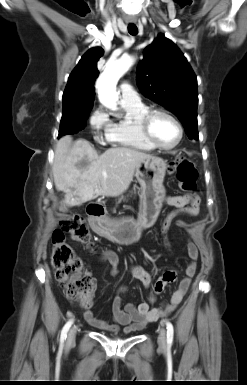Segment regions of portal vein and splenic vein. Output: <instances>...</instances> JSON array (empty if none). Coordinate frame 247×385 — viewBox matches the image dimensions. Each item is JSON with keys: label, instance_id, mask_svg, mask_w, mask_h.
I'll use <instances>...</instances> for the list:
<instances>
[{"label": "portal vein and splenic vein", "instance_id": "1", "mask_svg": "<svg viewBox=\"0 0 247 385\" xmlns=\"http://www.w3.org/2000/svg\"><path fill=\"white\" fill-rule=\"evenodd\" d=\"M104 177H107V175H106V174H104Z\"/></svg>", "mask_w": 247, "mask_h": 385}]
</instances>
